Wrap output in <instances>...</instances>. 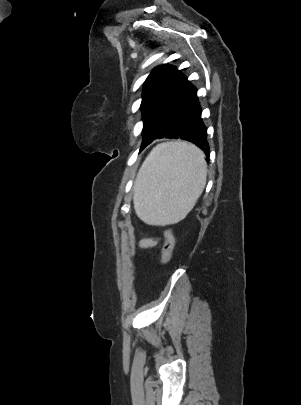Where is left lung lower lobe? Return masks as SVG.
Wrapping results in <instances>:
<instances>
[{"label":"left lung lower lobe","mask_w":301,"mask_h":405,"mask_svg":"<svg viewBox=\"0 0 301 405\" xmlns=\"http://www.w3.org/2000/svg\"><path fill=\"white\" fill-rule=\"evenodd\" d=\"M183 139L202 149L207 158L210 150L207 130L201 118L196 88L189 83L184 95L172 107L159 129L143 138L141 149L155 139Z\"/></svg>","instance_id":"left-lung-lower-lobe-1"}]
</instances>
